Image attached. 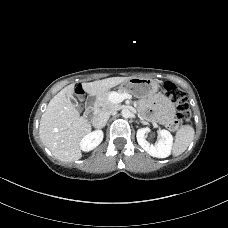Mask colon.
<instances>
[{
  "instance_id": "5ec220e1",
  "label": "colon",
  "mask_w": 228,
  "mask_h": 228,
  "mask_svg": "<svg viewBox=\"0 0 228 228\" xmlns=\"http://www.w3.org/2000/svg\"><path fill=\"white\" fill-rule=\"evenodd\" d=\"M163 91L165 97L176 105V118L170 120L168 126L171 129H176L179 126L189 125L191 111L186 93L170 81L164 83Z\"/></svg>"
}]
</instances>
